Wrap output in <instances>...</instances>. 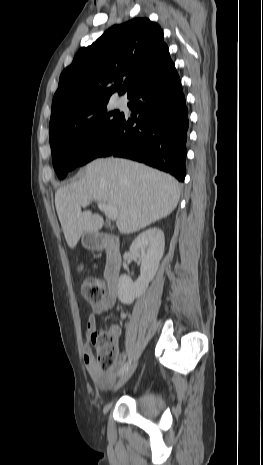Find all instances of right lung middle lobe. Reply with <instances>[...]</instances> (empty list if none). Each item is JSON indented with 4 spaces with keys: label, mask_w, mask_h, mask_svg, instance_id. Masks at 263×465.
<instances>
[{
    "label": "right lung middle lobe",
    "mask_w": 263,
    "mask_h": 465,
    "mask_svg": "<svg viewBox=\"0 0 263 465\" xmlns=\"http://www.w3.org/2000/svg\"><path fill=\"white\" fill-rule=\"evenodd\" d=\"M108 101L82 107L50 123L54 169L60 179L77 166L99 157L124 114L108 112Z\"/></svg>",
    "instance_id": "dd1d6c3e"
}]
</instances>
